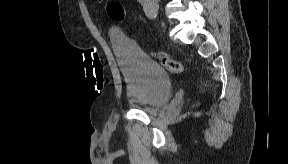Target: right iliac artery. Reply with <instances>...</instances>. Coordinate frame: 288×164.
Masks as SVG:
<instances>
[{"instance_id": "obj_1", "label": "right iliac artery", "mask_w": 288, "mask_h": 164, "mask_svg": "<svg viewBox=\"0 0 288 164\" xmlns=\"http://www.w3.org/2000/svg\"><path fill=\"white\" fill-rule=\"evenodd\" d=\"M146 15L150 18V19H154L157 16V13L155 11H153L152 9H149L148 6V10L146 11Z\"/></svg>"}]
</instances>
